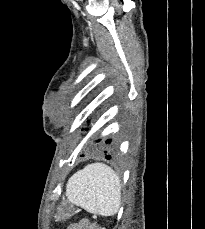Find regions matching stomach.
<instances>
[{
    "mask_svg": "<svg viewBox=\"0 0 205 229\" xmlns=\"http://www.w3.org/2000/svg\"><path fill=\"white\" fill-rule=\"evenodd\" d=\"M69 211H70V209L67 207L60 209L58 212V219L59 220L65 219L66 215L68 214Z\"/></svg>",
    "mask_w": 205,
    "mask_h": 229,
    "instance_id": "1",
    "label": "stomach"
}]
</instances>
